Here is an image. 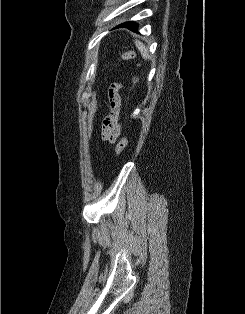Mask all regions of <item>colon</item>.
Returning <instances> with one entry per match:
<instances>
[{
	"label": "colon",
	"instance_id": "1",
	"mask_svg": "<svg viewBox=\"0 0 245 314\" xmlns=\"http://www.w3.org/2000/svg\"><path fill=\"white\" fill-rule=\"evenodd\" d=\"M133 56H134L133 52L128 51L122 55V58L123 59H131V58H133ZM137 82H138V77H137V75H135L133 77V88H135V86L137 85ZM127 144H128L127 137H123L116 145L115 154L119 155L122 152V150L127 146Z\"/></svg>",
	"mask_w": 245,
	"mask_h": 314
}]
</instances>
